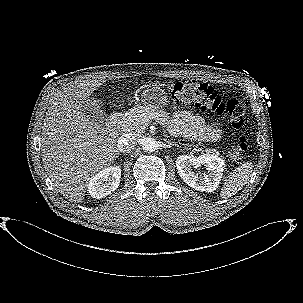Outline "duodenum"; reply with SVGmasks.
<instances>
[{
  "instance_id": "obj_1",
  "label": "duodenum",
  "mask_w": 303,
  "mask_h": 303,
  "mask_svg": "<svg viewBox=\"0 0 303 303\" xmlns=\"http://www.w3.org/2000/svg\"><path fill=\"white\" fill-rule=\"evenodd\" d=\"M123 118V114L121 112L114 113L109 119L108 125L110 127L116 126Z\"/></svg>"
}]
</instances>
